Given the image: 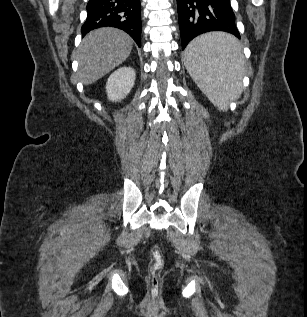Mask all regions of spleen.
Listing matches in <instances>:
<instances>
[{
  "label": "spleen",
  "instance_id": "spleen-1",
  "mask_svg": "<svg viewBox=\"0 0 307 317\" xmlns=\"http://www.w3.org/2000/svg\"><path fill=\"white\" fill-rule=\"evenodd\" d=\"M241 42L225 33H208L190 42L186 69L201 91L220 110L227 111L242 88Z\"/></svg>",
  "mask_w": 307,
  "mask_h": 317
}]
</instances>
